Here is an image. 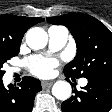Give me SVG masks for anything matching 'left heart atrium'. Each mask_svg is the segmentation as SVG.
Instances as JSON below:
<instances>
[{
    "instance_id": "1",
    "label": "left heart atrium",
    "mask_w": 112,
    "mask_h": 112,
    "mask_svg": "<svg viewBox=\"0 0 112 112\" xmlns=\"http://www.w3.org/2000/svg\"><path fill=\"white\" fill-rule=\"evenodd\" d=\"M27 64L32 74L46 77L53 73V70L59 65V60L54 57L34 55L27 59Z\"/></svg>"
}]
</instances>
